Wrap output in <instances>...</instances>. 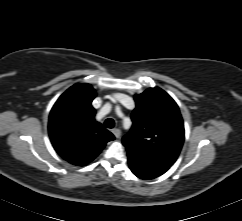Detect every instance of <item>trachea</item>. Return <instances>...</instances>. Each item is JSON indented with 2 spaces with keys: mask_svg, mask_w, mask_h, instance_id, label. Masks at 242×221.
Wrapping results in <instances>:
<instances>
[{
  "mask_svg": "<svg viewBox=\"0 0 242 221\" xmlns=\"http://www.w3.org/2000/svg\"><path fill=\"white\" fill-rule=\"evenodd\" d=\"M104 124L107 128H113L115 126V122L111 118L106 119Z\"/></svg>",
  "mask_w": 242,
  "mask_h": 221,
  "instance_id": "trachea-1",
  "label": "trachea"
}]
</instances>
